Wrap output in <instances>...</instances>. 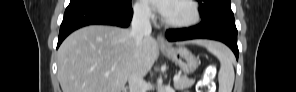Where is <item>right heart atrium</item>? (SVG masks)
Here are the masks:
<instances>
[{
  "label": "right heart atrium",
  "mask_w": 296,
  "mask_h": 92,
  "mask_svg": "<svg viewBox=\"0 0 296 92\" xmlns=\"http://www.w3.org/2000/svg\"><path fill=\"white\" fill-rule=\"evenodd\" d=\"M135 14L143 19L149 20L153 17L152 9L144 2H137L134 6Z\"/></svg>",
  "instance_id": "d8ad5b80"
}]
</instances>
